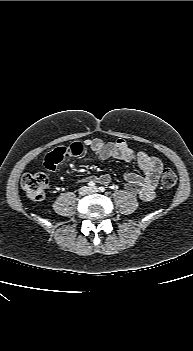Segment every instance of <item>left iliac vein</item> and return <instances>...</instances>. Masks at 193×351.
<instances>
[{"mask_svg": "<svg viewBox=\"0 0 193 351\" xmlns=\"http://www.w3.org/2000/svg\"><path fill=\"white\" fill-rule=\"evenodd\" d=\"M98 191L97 187H93L90 189V192L91 193H96Z\"/></svg>", "mask_w": 193, "mask_h": 351, "instance_id": "obj_1", "label": "left iliac vein"}]
</instances>
